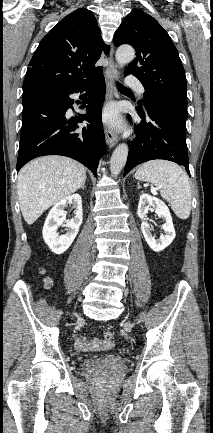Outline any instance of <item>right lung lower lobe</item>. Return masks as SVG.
Returning <instances> with one entry per match:
<instances>
[{"label": "right lung lower lobe", "mask_w": 213, "mask_h": 433, "mask_svg": "<svg viewBox=\"0 0 213 433\" xmlns=\"http://www.w3.org/2000/svg\"><path fill=\"white\" fill-rule=\"evenodd\" d=\"M82 109L86 114L67 118L72 108L73 93H83ZM87 99V93H89ZM105 99L102 71L86 82L67 90L29 89L23 92V118L17 171L28 161L43 155H63L74 158L97 176L100 156L105 152V136L101 122V107ZM88 121L86 127L77 123Z\"/></svg>", "instance_id": "98d812e1"}]
</instances>
